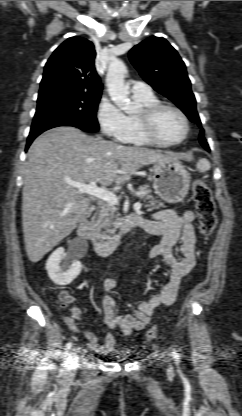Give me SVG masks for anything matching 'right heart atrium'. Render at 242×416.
Returning <instances> with one entry per match:
<instances>
[{
    "instance_id": "d8ad5b80",
    "label": "right heart atrium",
    "mask_w": 242,
    "mask_h": 416,
    "mask_svg": "<svg viewBox=\"0 0 242 416\" xmlns=\"http://www.w3.org/2000/svg\"><path fill=\"white\" fill-rule=\"evenodd\" d=\"M96 118L102 132L118 141H123L128 132L125 113L110 99L102 98L98 104Z\"/></svg>"
}]
</instances>
